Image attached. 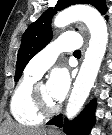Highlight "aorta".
I'll return each mask as SVG.
<instances>
[{
	"instance_id": "762f6f07",
	"label": "aorta",
	"mask_w": 112,
	"mask_h": 135,
	"mask_svg": "<svg viewBox=\"0 0 112 135\" xmlns=\"http://www.w3.org/2000/svg\"><path fill=\"white\" fill-rule=\"evenodd\" d=\"M81 20L90 31L89 46L74 82L66 107V116L73 119L81 110L94 85L108 43L107 25L102 15L89 6H75L58 13L54 25L58 28Z\"/></svg>"
}]
</instances>
